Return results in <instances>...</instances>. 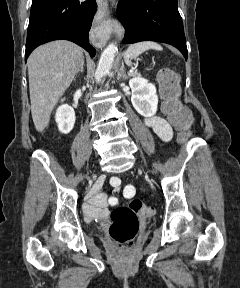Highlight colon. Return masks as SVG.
<instances>
[{
	"instance_id": "5ec220e1",
	"label": "colon",
	"mask_w": 240,
	"mask_h": 288,
	"mask_svg": "<svg viewBox=\"0 0 240 288\" xmlns=\"http://www.w3.org/2000/svg\"><path fill=\"white\" fill-rule=\"evenodd\" d=\"M162 110L170 122L187 134L192 122L190 111L179 101L178 76L170 69H163L159 75ZM152 207L139 199L130 200L128 206L116 208L111 213L109 234L121 249H129L139 230V218L153 215Z\"/></svg>"
}]
</instances>
